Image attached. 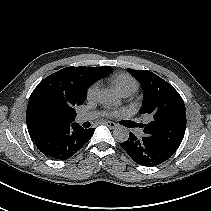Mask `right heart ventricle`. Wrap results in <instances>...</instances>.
Listing matches in <instances>:
<instances>
[{"instance_id":"right-heart-ventricle-1","label":"right heart ventricle","mask_w":211,"mask_h":211,"mask_svg":"<svg viewBox=\"0 0 211 211\" xmlns=\"http://www.w3.org/2000/svg\"><path fill=\"white\" fill-rule=\"evenodd\" d=\"M112 83L120 93H133L138 88L137 81L132 76L125 73L116 74L112 78Z\"/></svg>"}]
</instances>
